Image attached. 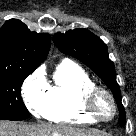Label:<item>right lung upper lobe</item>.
I'll return each mask as SVG.
<instances>
[{
  "instance_id": "right-lung-upper-lobe-1",
  "label": "right lung upper lobe",
  "mask_w": 136,
  "mask_h": 136,
  "mask_svg": "<svg viewBox=\"0 0 136 136\" xmlns=\"http://www.w3.org/2000/svg\"><path fill=\"white\" fill-rule=\"evenodd\" d=\"M51 38L31 32L20 20H8L0 29V73H32L46 58Z\"/></svg>"
}]
</instances>
